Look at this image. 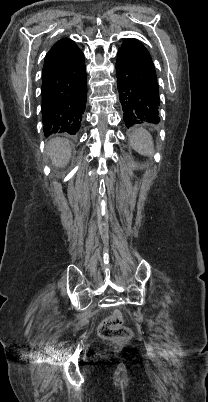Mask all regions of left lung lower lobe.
Returning a JSON list of instances; mask_svg holds the SVG:
<instances>
[{
	"label": "left lung lower lobe",
	"mask_w": 208,
	"mask_h": 402,
	"mask_svg": "<svg viewBox=\"0 0 208 402\" xmlns=\"http://www.w3.org/2000/svg\"><path fill=\"white\" fill-rule=\"evenodd\" d=\"M116 74L126 126L159 123V88L155 67L148 50L137 39H127L118 49Z\"/></svg>",
	"instance_id": "left-lung-lower-lobe-1"
}]
</instances>
